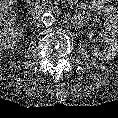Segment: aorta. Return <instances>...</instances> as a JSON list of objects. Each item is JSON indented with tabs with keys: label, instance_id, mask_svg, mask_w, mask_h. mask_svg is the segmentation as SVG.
<instances>
[{
	"label": "aorta",
	"instance_id": "762f6f07",
	"mask_svg": "<svg viewBox=\"0 0 118 118\" xmlns=\"http://www.w3.org/2000/svg\"><path fill=\"white\" fill-rule=\"evenodd\" d=\"M42 22L45 26H51L55 22V17L51 13H45L42 16Z\"/></svg>",
	"mask_w": 118,
	"mask_h": 118
}]
</instances>
